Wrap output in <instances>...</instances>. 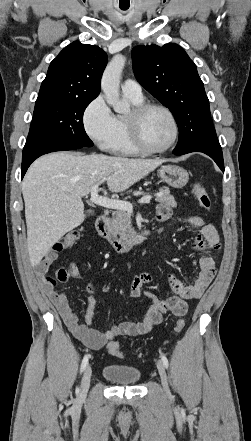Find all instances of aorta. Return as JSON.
<instances>
[{"label": "aorta", "mask_w": 251, "mask_h": 441, "mask_svg": "<svg viewBox=\"0 0 251 441\" xmlns=\"http://www.w3.org/2000/svg\"><path fill=\"white\" fill-rule=\"evenodd\" d=\"M125 65V57L116 55L107 65L101 80V89L104 92L106 101L115 112L126 114L130 110L127 102L120 100V78Z\"/></svg>", "instance_id": "aorta-1"}]
</instances>
